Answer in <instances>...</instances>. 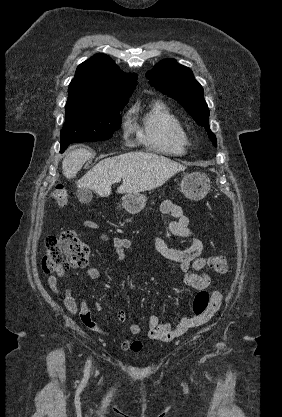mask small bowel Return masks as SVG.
<instances>
[{
    "label": "small bowel",
    "instance_id": "small-bowel-1",
    "mask_svg": "<svg viewBox=\"0 0 282 417\" xmlns=\"http://www.w3.org/2000/svg\"><path fill=\"white\" fill-rule=\"evenodd\" d=\"M160 211L164 215H170L174 218L168 224V230L174 236L189 240V246L185 248H174L169 246L163 237L157 235L154 238V248L156 252L165 260L177 263L182 273L183 282L186 286L203 291L210 285V276L205 271L209 260L201 256L203 250V242L193 235L189 228V218L184 213L182 207L170 200H165L160 205ZM83 226L86 230L97 233L105 242H107L118 261H123L126 258V251L131 248L132 242L128 238L119 236H109L106 234L98 224L93 221H85ZM86 277L97 280L101 277L100 271L97 268L91 267L86 271ZM48 285L55 294L60 292L57 286V279L51 275L47 279ZM72 286H69L64 291V306L72 315H78L83 324L90 330L96 331L102 335H108V330L105 327L98 326L91 318L86 321L82 320V312L88 309L86 303L82 302L80 310L76 300L72 294ZM222 304V294L218 291H213L210 296V305L205 313L195 316H182L175 326L163 323L158 316L150 315L148 319L147 337L151 340H165V342L183 335L187 330L200 327L206 324L220 309ZM97 310H101L102 306L99 302H95ZM90 312V310H89ZM116 319L119 322L126 320V312L122 309L115 311ZM141 330L138 324H131L127 327L130 336L137 335ZM143 344L139 339L128 337L120 344V349L124 352L138 353L142 350Z\"/></svg>",
    "mask_w": 282,
    "mask_h": 417
}]
</instances>
